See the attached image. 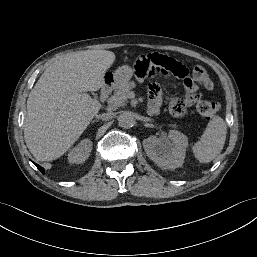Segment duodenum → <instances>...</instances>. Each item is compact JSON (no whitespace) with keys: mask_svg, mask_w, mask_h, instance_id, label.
<instances>
[{"mask_svg":"<svg viewBox=\"0 0 257 257\" xmlns=\"http://www.w3.org/2000/svg\"><path fill=\"white\" fill-rule=\"evenodd\" d=\"M114 88H115V83L113 78L111 76L106 77L104 85L102 86V89H101V99L103 101L108 99L111 93L113 92Z\"/></svg>","mask_w":257,"mask_h":257,"instance_id":"duodenum-1","label":"duodenum"}]
</instances>
